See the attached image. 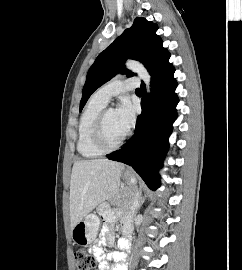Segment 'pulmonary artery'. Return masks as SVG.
Returning a JSON list of instances; mask_svg holds the SVG:
<instances>
[{
    "instance_id": "obj_1",
    "label": "pulmonary artery",
    "mask_w": 242,
    "mask_h": 270,
    "mask_svg": "<svg viewBox=\"0 0 242 270\" xmlns=\"http://www.w3.org/2000/svg\"><path fill=\"white\" fill-rule=\"evenodd\" d=\"M137 78L115 79L100 87L93 95L96 99L107 103L113 96H116L127 90L138 88Z\"/></svg>"
}]
</instances>
